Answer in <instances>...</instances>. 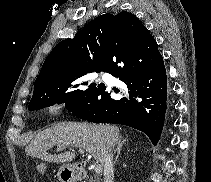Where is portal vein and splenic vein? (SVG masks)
<instances>
[{
	"label": "portal vein and splenic vein",
	"mask_w": 211,
	"mask_h": 182,
	"mask_svg": "<svg viewBox=\"0 0 211 182\" xmlns=\"http://www.w3.org/2000/svg\"><path fill=\"white\" fill-rule=\"evenodd\" d=\"M79 152L83 154L84 150L82 148H79ZM95 171H96V173H101V171H102L101 166L98 164H95Z\"/></svg>",
	"instance_id": "obj_1"
}]
</instances>
